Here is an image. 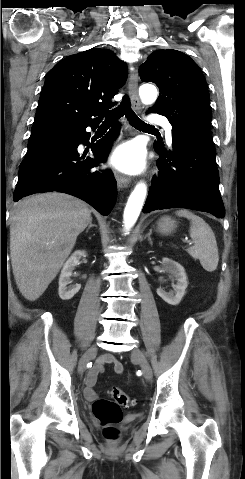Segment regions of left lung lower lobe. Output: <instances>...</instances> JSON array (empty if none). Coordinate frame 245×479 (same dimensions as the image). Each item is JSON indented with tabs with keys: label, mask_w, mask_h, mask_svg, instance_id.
<instances>
[{
	"label": "left lung lower lobe",
	"mask_w": 245,
	"mask_h": 479,
	"mask_svg": "<svg viewBox=\"0 0 245 479\" xmlns=\"http://www.w3.org/2000/svg\"><path fill=\"white\" fill-rule=\"evenodd\" d=\"M172 129L171 149L155 143L160 154L159 175L153 178L143 212L187 208L224 217L216 151L210 132L203 128Z\"/></svg>",
	"instance_id": "1"
}]
</instances>
